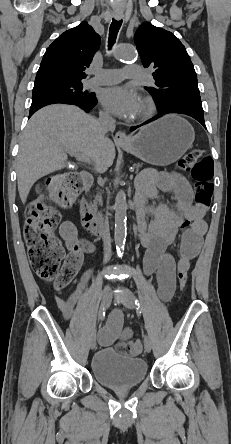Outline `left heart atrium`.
<instances>
[{
	"label": "left heart atrium",
	"mask_w": 231,
	"mask_h": 444,
	"mask_svg": "<svg viewBox=\"0 0 231 444\" xmlns=\"http://www.w3.org/2000/svg\"><path fill=\"white\" fill-rule=\"evenodd\" d=\"M101 104L112 114L128 118L139 109L140 99L136 92L123 86L105 88L100 92Z\"/></svg>",
	"instance_id": "1"
}]
</instances>
